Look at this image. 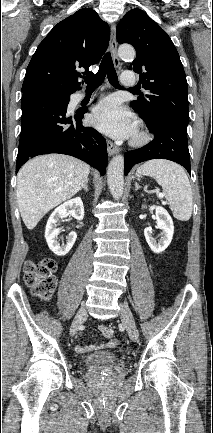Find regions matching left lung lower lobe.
Segmentation results:
<instances>
[{"mask_svg":"<svg viewBox=\"0 0 213 433\" xmlns=\"http://www.w3.org/2000/svg\"><path fill=\"white\" fill-rule=\"evenodd\" d=\"M144 121L147 128L154 133V139L146 146L127 151L124 154L125 175L135 164L151 159H168L177 162L185 167L190 174V154L187 142L188 123L173 116H161L154 121Z\"/></svg>","mask_w":213,"mask_h":433,"instance_id":"0a47b994","label":"left lung lower lobe"}]
</instances>
